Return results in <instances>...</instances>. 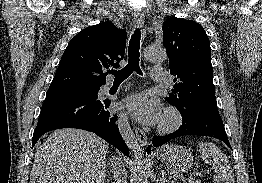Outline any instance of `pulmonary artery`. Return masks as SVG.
Segmentation results:
<instances>
[{"label": "pulmonary artery", "instance_id": "1", "mask_svg": "<svg viewBox=\"0 0 262 183\" xmlns=\"http://www.w3.org/2000/svg\"><path fill=\"white\" fill-rule=\"evenodd\" d=\"M151 77L156 82H165L166 74L161 69L153 68L151 70Z\"/></svg>", "mask_w": 262, "mask_h": 183}]
</instances>
